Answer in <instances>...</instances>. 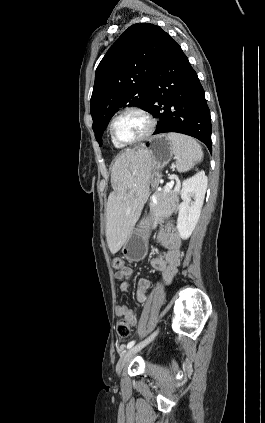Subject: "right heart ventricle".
Instances as JSON below:
<instances>
[{
	"label": "right heart ventricle",
	"instance_id": "1",
	"mask_svg": "<svg viewBox=\"0 0 265 423\" xmlns=\"http://www.w3.org/2000/svg\"><path fill=\"white\" fill-rule=\"evenodd\" d=\"M112 143H113L114 147H116V148H118V149H120V148H123V147H124V146H121V145H119V144L115 143L113 140H112Z\"/></svg>",
	"mask_w": 265,
	"mask_h": 423
}]
</instances>
